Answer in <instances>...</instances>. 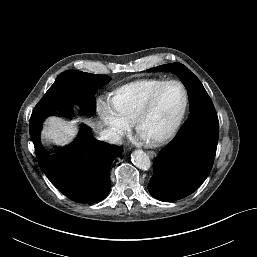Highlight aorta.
Segmentation results:
<instances>
[{"mask_svg":"<svg viewBox=\"0 0 257 257\" xmlns=\"http://www.w3.org/2000/svg\"><path fill=\"white\" fill-rule=\"evenodd\" d=\"M131 161L136 166L141 167L148 164L149 158L144 151L136 149L131 153Z\"/></svg>","mask_w":257,"mask_h":257,"instance_id":"aorta-1","label":"aorta"}]
</instances>
